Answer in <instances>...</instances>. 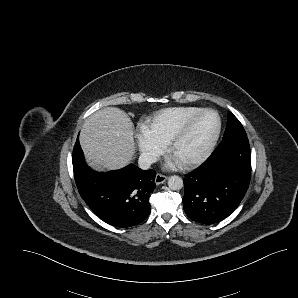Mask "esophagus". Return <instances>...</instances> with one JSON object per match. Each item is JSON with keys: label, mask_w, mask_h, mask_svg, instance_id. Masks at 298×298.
Wrapping results in <instances>:
<instances>
[{"label": "esophagus", "mask_w": 298, "mask_h": 298, "mask_svg": "<svg viewBox=\"0 0 298 298\" xmlns=\"http://www.w3.org/2000/svg\"><path fill=\"white\" fill-rule=\"evenodd\" d=\"M167 180V177L161 173H158L155 177V183L157 185L164 183Z\"/></svg>", "instance_id": "obj_1"}]
</instances>
